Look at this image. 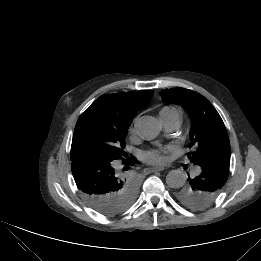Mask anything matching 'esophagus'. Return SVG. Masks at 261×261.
<instances>
[{
  "label": "esophagus",
  "mask_w": 261,
  "mask_h": 261,
  "mask_svg": "<svg viewBox=\"0 0 261 261\" xmlns=\"http://www.w3.org/2000/svg\"><path fill=\"white\" fill-rule=\"evenodd\" d=\"M164 168L162 167H153V168H148L144 170L145 174H149V173H153V172H159V171H163Z\"/></svg>",
  "instance_id": "esophagus-1"
}]
</instances>
